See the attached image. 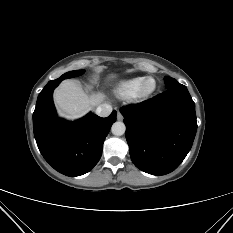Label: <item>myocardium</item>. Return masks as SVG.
<instances>
[{"instance_id":"myocardium-1","label":"myocardium","mask_w":233,"mask_h":233,"mask_svg":"<svg viewBox=\"0 0 233 233\" xmlns=\"http://www.w3.org/2000/svg\"><path fill=\"white\" fill-rule=\"evenodd\" d=\"M150 82L153 83V86L148 89L147 85ZM156 89H157L156 80L153 77H147V78L145 77L135 97L139 100H146L155 93Z\"/></svg>"}]
</instances>
